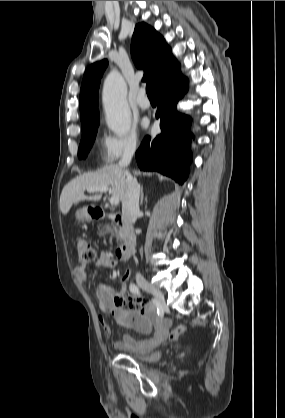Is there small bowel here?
<instances>
[{
	"label": "small bowel",
	"mask_w": 285,
	"mask_h": 418,
	"mask_svg": "<svg viewBox=\"0 0 285 418\" xmlns=\"http://www.w3.org/2000/svg\"><path fill=\"white\" fill-rule=\"evenodd\" d=\"M95 266L114 269L117 261L105 252L100 253ZM75 275L81 282H88L87 265L80 264L75 268ZM131 270L126 269L120 279V287L115 288L107 284H101L96 290V297L99 307L103 313L112 314L115 320L125 327L132 328L139 332H145L150 324H154V334L142 340H136L126 336L123 340L113 342L115 349L126 351L153 350L165 342L170 332L169 320L158 318L154 314L152 306L145 300L131 294L129 278ZM100 323L106 335L112 333L110 323L105 317L100 316Z\"/></svg>",
	"instance_id": "1"
}]
</instances>
